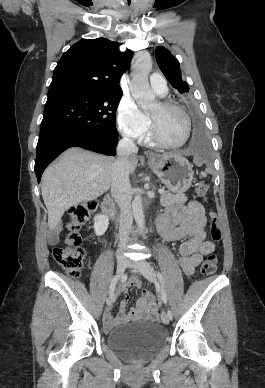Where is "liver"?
<instances>
[{"label": "liver", "instance_id": "6515ba94", "mask_svg": "<svg viewBox=\"0 0 265 388\" xmlns=\"http://www.w3.org/2000/svg\"><path fill=\"white\" fill-rule=\"evenodd\" d=\"M181 156V154H175ZM129 172L137 168L138 158H128ZM114 158L99 156L82 148H69L42 176V196L48 210V228L53 232L71 206L102 196L112 184ZM97 184V186H93Z\"/></svg>", "mask_w": 265, "mask_h": 388}]
</instances>
